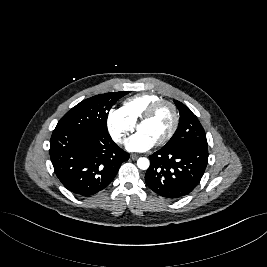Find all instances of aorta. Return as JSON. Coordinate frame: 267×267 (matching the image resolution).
Here are the masks:
<instances>
[{
    "label": "aorta",
    "mask_w": 267,
    "mask_h": 267,
    "mask_svg": "<svg viewBox=\"0 0 267 267\" xmlns=\"http://www.w3.org/2000/svg\"><path fill=\"white\" fill-rule=\"evenodd\" d=\"M149 165H150V162L147 158L145 157H140L138 160H137V166L139 169L141 170H146L149 168Z\"/></svg>",
    "instance_id": "obj_1"
}]
</instances>
